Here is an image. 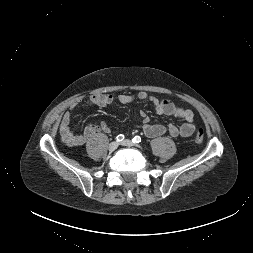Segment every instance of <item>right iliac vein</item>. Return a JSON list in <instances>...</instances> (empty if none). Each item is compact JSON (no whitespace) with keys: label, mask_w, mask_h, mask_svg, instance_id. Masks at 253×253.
<instances>
[{"label":"right iliac vein","mask_w":253,"mask_h":253,"mask_svg":"<svg viewBox=\"0 0 253 253\" xmlns=\"http://www.w3.org/2000/svg\"><path fill=\"white\" fill-rule=\"evenodd\" d=\"M117 147H118V143H117V142H111V143L109 144V146H108V149H109L110 151H114V150L117 149Z\"/></svg>","instance_id":"63e3f726"}]
</instances>
